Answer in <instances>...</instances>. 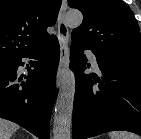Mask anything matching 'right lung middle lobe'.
Returning <instances> with one entry per match:
<instances>
[{
    "instance_id": "dd1d6c3e",
    "label": "right lung middle lobe",
    "mask_w": 141,
    "mask_h": 139,
    "mask_svg": "<svg viewBox=\"0 0 141 139\" xmlns=\"http://www.w3.org/2000/svg\"><path fill=\"white\" fill-rule=\"evenodd\" d=\"M1 61H5V59H0V62H1Z\"/></svg>"
}]
</instances>
